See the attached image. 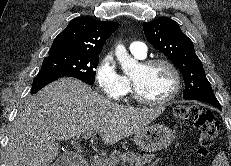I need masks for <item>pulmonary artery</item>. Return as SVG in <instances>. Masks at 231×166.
Here are the masks:
<instances>
[{
  "instance_id": "e3ab8cb5",
  "label": "pulmonary artery",
  "mask_w": 231,
  "mask_h": 166,
  "mask_svg": "<svg viewBox=\"0 0 231 166\" xmlns=\"http://www.w3.org/2000/svg\"><path fill=\"white\" fill-rule=\"evenodd\" d=\"M130 52L138 57V58H145L147 55V47L144 42L141 41H134L129 46Z\"/></svg>"
}]
</instances>
